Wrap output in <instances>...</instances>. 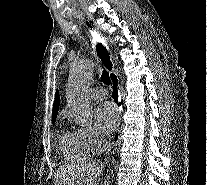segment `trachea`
Listing matches in <instances>:
<instances>
[{
    "mask_svg": "<svg viewBox=\"0 0 207 185\" xmlns=\"http://www.w3.org/2000/svg\"><path fill=\"white\" fill-rule=\"evenodd\" d=\"M96 49H97V53H98L99 57L103 61V55H106L107 54V50L105 49V47L102 44H97V48ZM101 80L106 85H110L111 80L109 78V73L106 70H104L102 72Z\"/></svg>",
    "mask_w": 207,
    "mask_h": 185,
    "instance_id": "obj_1",
    "label": "trachea"
}]
</instances>
